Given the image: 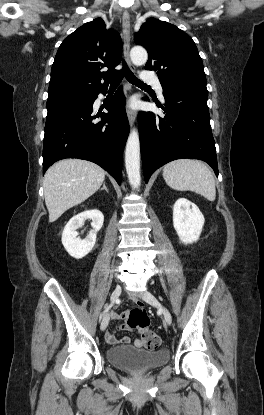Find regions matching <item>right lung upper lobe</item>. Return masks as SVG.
Wrapping results in <instances>:
<instances>
[{"label":"right lung upper lobe","instance_id":"right-lung-upper-lobe-1","mask_svg":"<svg viewBox=\"0 0 264 415\" xmlns=\"http://www.w3.org/2000/svg\"><path fill=\"white\" fill-rule=\"evenodd\" d=\"M121 38L106 30L102 18L87 22L60 45L51 70L48 100L83 97L104 91L117 74L121 60ZM108 68L107 71H102ZM104 83H101V79Z\"/></svg>","mask_w":264,"mask_h":415}]
</instances>
